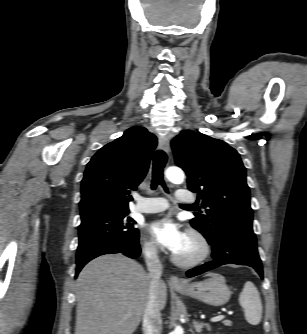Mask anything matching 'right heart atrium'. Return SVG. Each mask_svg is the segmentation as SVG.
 <instances>
[{
	"mask_svg": "<svg viewBox=\"0 0 307 334\" xmlns=\"http://www.w3.org/2000/svg\"><path fill=\"white\" fill-rule=\"evenodd\" d=\"M140 247H141L142 253L147 259L153 260L157 258L158 249L152 241L147 240V239H142L140 242Z\"/></svg>",
	"mask_w": 307,
	"mask_h": 334,
	"instance_id": "right-heart-atrium-1",
	"label": "right heart atrium"
}]
</instances>
